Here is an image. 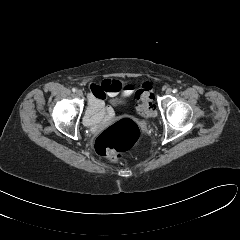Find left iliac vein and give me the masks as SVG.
<instances>
[{"label": "left iliac vein", "instance_id": "1", "mask_svg": "<svg viewBox=\"0 0 240 240\" xmlns=\"http://www.w3.org/2000/svg\"><path fill=\"white\" fill-rule=\"evenodd\" d=\"M165 93H166L167 95H170V94L172 93V89H171V88H167L166 91H165Z\"/></svg>", "mask_w": 240, "mask_h": 240}]
</instances>
